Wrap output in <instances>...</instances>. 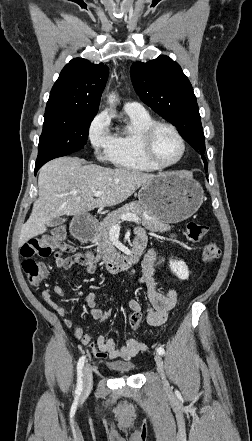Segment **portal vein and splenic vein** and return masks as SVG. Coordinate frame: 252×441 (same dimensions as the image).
Listing matches in <instances>:
<instances>
[{"label":"portal vein and splenic vein","mask_w":252,"mask_h":441,"mask_svg":"<svg viewBox=\"0 0 252 441\" xmlns=\"http://www.w3.org/2000/svg\"><path fill=\"white\" fill-rule=\"evenodd\" d=\"M102 194H103L102 191H96V192H94V196H95V197H100ZM121 219H122L123 221H132V222H138V221L140 220V218H139L136 214H133V213H126V214H123V215L121 216ZM113 227H118V224L114 225Z\"/></svg>","instance_id":"obj_1"}]
</instances>
